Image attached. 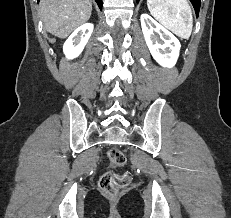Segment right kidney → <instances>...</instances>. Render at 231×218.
Wrapping results in <instances>:
<instances>
[{"label":"right kidney","mask_w":231,"mask_h":218,"mask_svg":"<svg viewBox=\"0 0 231 218\" xmlns=\"http://www.w3.org/2000/svg\"><path fill=\"white\" fill-rule=\"evenodd\" d=\"M93 24L86 23L78 27L63 45V52L68 59L78 57L87 44L92 32Z\"/></svg>","instance_id":"1"}]
</instances>
